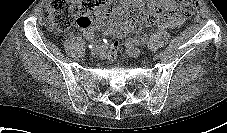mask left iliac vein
Returning a JSON list of instances; mask_svg holds the SVG:
<instances>
[{
  "label": "left iliac vein",
  "instance_id": "4c4485c4",
  "mask_svg": "<svg viewBox=\"0 0 227 133\" xmlns=\"http://www.w3.org/2000/svg\"><path fill=\"white\" fill-rule=\"evenodd\" d=\"M126 52L128 53L129 56L137 58L141 55V50L133 45H128L126 46Z\"/></svg>",
  "mask_w": 227,
  "mask_h": 133
}]
</instances>
